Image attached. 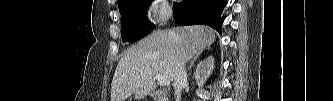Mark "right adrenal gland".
Returning <instances> with one entry per match:
<instances>
[{
    "label": "right adrenal gland",
    "instance_id": "2a0ac1e0",
    "mask_svg": "<svg viewBox=\"0 0 333 101\" xmlns=\"http://www.w3.org/2000/svg\"><path fill=\"white\" fill-rule=\"evenodd\" d=\"M207 50H210V47H207ZM200 54H201V53H198V54H196V55L193 57V59H192L191 62H190V65H189L188 70H190V69L192 68V66L194 65V62L197 60V58L200 56Z\"/></svg>",
    "mask_w": 333,
    "mask_h": 101
}]
</instances>
